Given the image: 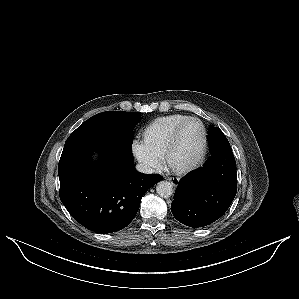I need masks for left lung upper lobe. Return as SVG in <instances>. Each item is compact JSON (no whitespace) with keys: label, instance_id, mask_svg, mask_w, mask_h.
<instances>
[{"label":"left lung upper lobe","instance_id":"left-lung-upper-lobe-1","mask_svg":"<svg viewBox=\"0 0 299 299\" xmlns=\"http://www.w3.org/2000/svg\"><path fill=\"white\" fill-rule=\"evenodd\" d=\"M208 141L209 146L231 148L223 132L218 127H213L212 125L209 128Z\"/></svg>","mask_w":299,"mask_h":299}]
</instances>
